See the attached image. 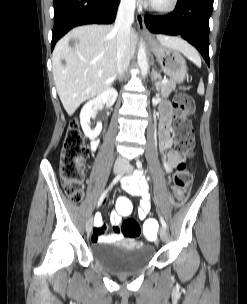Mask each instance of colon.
Listing matches in <instances>:
<instances>
[{"mask_svg": "<svg viewBox=\"0 0 247 304\" xmlns=\"http://www.w3.org/2000/svg\"><path fill=\"white\" fill-rule=\"evenodd\" d=\"M174 134L176 148L183 157L191 156L194 150L193 131L190 117L194 113V100L179 93L174 99ZM88 155V148L77 120H73L67 130L60 159V177L63 188L68 196L74 201L82 199L85 158ZM191 182V175L186 169L184 162H181L174 175V188L179 201H182L186 190ZM132 210L130 201L121 198L117 202V211L121 215H128ZM156 223L153 220L147 221L145 231H142V238H155ZM121 232L128 238H137L141 234V226L134 219H127L121 226Z\"/></svg>", "mask_w": 247, "mask_h": 304, "instance_id": "5ec220e1", "label": "colon"}]
</instances>
